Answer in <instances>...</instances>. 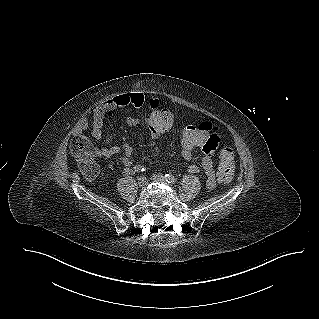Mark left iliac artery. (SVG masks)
<instances>
[{
  "instance_id": "1",
  "label": "left iliac artery",
  "mask_w": 319,
  "mask_h": 319,
  "mask_svg": "<svg viewBox=\"0 0 319 319\" xmlns=\"http://www.w3.org/2000/svg\"><path fill=\"white\" fill-rule=\"evenodd\" d=\"M165 179L170 184H175L176 178L172 174H165Z\"/></svg>"
}]
</instances>
